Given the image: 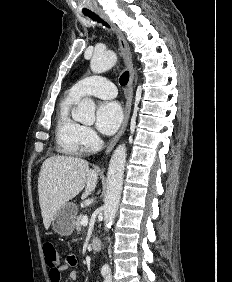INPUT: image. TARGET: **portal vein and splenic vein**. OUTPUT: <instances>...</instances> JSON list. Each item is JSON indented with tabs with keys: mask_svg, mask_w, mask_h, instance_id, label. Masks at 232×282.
Listing matches in <instances>:
<instances>
[{
	"mask_svg": "<svg viewBox=\"0 0 232 282\" xmlns=\"http://www.w3.org/2000/svg\"><path fill=\"white\" fill-rule=\"evenodd\" d=\"M81 224L83 226H87L88 224V217L87 216H84L82 219H81Z\"/></svg>",
	"mask_w": 232,
	"mask_h": 282,
	"instance_id": "18ae733b",
	"label": "portal vein and splenic vein"
}]
</instances>
